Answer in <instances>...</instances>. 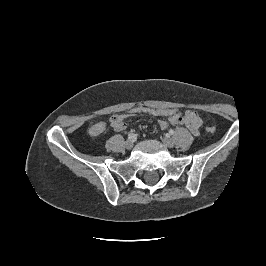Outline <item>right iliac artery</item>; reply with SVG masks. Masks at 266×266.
<instances>
[{"instance_id":"82829eb1","label":"right iliac artery","mask_w":266,"mask_h":266,"mask_svg":"<svg viewBox=\"0 0 266 266\" xmlns=\"http://www.w3.org/2000/svg\"><path fill=\"white\" fill-rule=\"evenodd\" d=\"M136 138H137V135L134 133H131L128 135V139H130V140H135Z\"/></svg>"}]
</instances>
